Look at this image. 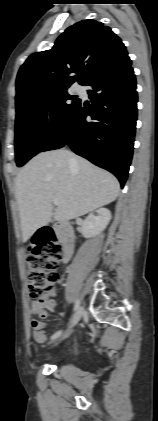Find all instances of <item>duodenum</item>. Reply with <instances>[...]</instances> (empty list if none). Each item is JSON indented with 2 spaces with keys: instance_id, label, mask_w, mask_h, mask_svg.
Instances as JSON below:
<instances>
[{
  "instance_id": "obj_1",
  "label": "duodenum",
  "mask_w": 158,
  "mask_h": 421,
  "mask_svg": "<svg viewBox=\"0 0 158 421\" xmlns=\"http://www.w3.org/2000/svg\"><path fill=\"white\" fill-rule=\"evenodd\" d=\"M52 228L55 229L59 235L63 250L62 260L66 262L73 253L75 241L74 231L70 224L66 221L57 222L52 227H43L42 231L44 233H51Z\"/></svg>"
}]
</instances>
